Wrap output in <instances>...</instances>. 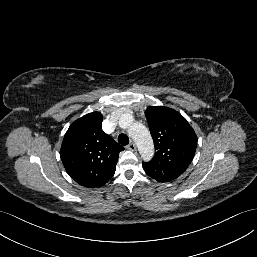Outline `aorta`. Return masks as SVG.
Instances as JSON below:
<instances>
[{
    "label": "aorta",
    "mask_w": 257,
    "mask_h": 257,
    "mask_svg": "<svg viewBox=\"0 0 257 257\" xmlns=\"http://www.w3.org/2000/svg\"><path fill=\"white\" fill-rule=\"evenodd\" d=\"M119 126L127 129L135 141L143 160L148 161L154 155V143L149 130L142 124L134 122L131 114H123L119 119Z\"/></svg>",
    "instance_id": "762f6f07"
}]
</instances>
